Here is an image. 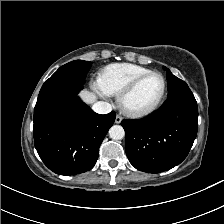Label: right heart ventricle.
I'll return each instance as SVG.
<instances>
[{
  "label": "right heart ventricle",
  "mask_w": 224,
  "mask_h": 224,
  "mask_svg": "<svg viewBox=\"0 0 224 224\" xmlns=\"http://www.w3.org/2000/svg\"><path fill=\"white\" fill-rule=\"evenodd\" d=\"M151 71L136 64H112L101 71L98 83L103 92L108 95H116L133 79Z\"/></svg>",
  "instance_id": "1"
}]
</instances>
